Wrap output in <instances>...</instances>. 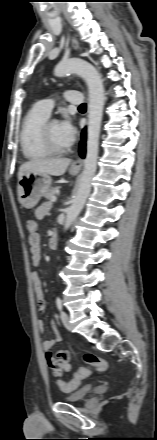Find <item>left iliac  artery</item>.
I'll return each mask as SVG.
<instances>
[{
	"label": "left iliac artery",
	"instance_id": "1",
	"mask_svg": "<svg viewBox=\"0 0 157 440\" xmlns=\"http://www.w3.org/2000/svg\"><path fill=\"white\" fill-rule=\"evenodd\" d=\"M56 304H57V308L59 310H61L62 309V301L59 297L56 298Z\"/></svg>",
	"mask_w": 157,
	"mask_h": 440
}]
</instances>
